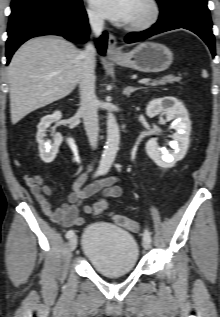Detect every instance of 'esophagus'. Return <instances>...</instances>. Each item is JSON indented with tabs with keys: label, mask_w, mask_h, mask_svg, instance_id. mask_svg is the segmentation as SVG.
Listing matches in <instances>:
<instances>
[{
	"label": "esophagus",
	"mask_w": 220,
	"mask_h": 317,
	"mask_svg": "<svg viewBox=\"0 0 220 317\" xmlns=\"http://www.w3.org/2000/svg\"><path fill=\"white\" fill-rule=\"evenodd\" d=\"M121 54L119 48L117 47V40L113 34L109 35L108 46H107V57L113 58Z\"/></svg>",
	"instance_id": "34e87169"
}]
</instances>
